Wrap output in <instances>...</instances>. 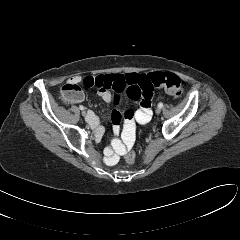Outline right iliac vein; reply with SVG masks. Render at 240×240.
I'll return each instance as SVG.
<instances>
[{
  "label": "right iliac vein",
  "instance_id": "63e3f726",
  "mask_svg": "<svg viewBox=\"0 0 240 240\" xmlns=\"http://www.w3.org/2000/svg\"><path fill=\"white\" fill-rule=\"evenodd\" d=\"M81 114H82V115L85 117V116H86V114H87V113H86V110H85V109H83V110H82V112H81Z\"/></svg>",
  "mask_w": 240,
  "mask_h": 240
}]
</instances>
